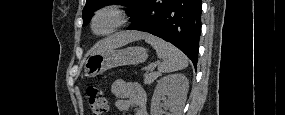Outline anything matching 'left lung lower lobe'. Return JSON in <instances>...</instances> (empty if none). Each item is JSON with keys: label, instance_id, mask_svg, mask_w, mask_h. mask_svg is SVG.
<instances>
[{"label": "left lung lower lobe", "instance_id": "0a47b994", "mask_svg": "<svg viewBox=\"0 0 285 115\" xmlns=\"http://www.w3.org/2000/svg\"><path fill=\"white\" fill-rule=\"evenodd\" d=\"M201 0H142L128 29L148 32L182 50L197 66Z\"/></svg>", "mask_w": 285, "mask_h": 115}]
</instances>
